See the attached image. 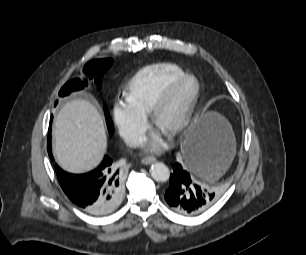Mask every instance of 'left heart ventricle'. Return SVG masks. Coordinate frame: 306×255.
Returning a JSON list of instances; mask_svg holds the SVG:
<instances>
[{
  "mask_svg": "<svg viewBox=\"0 0 306 255\" xmlns=\"http://www.w3.org/2000/svg\"><path fill=\"white\" fill-rule=\"evenodd\" d=\"M193 91V84L188 83L164 108L162 111L157 127L166 130L171 124H173L179 117L188 97Z\"/></svg>",
  "mask_w": 306,
  "mask_h": 255,
  "instance_id": "1",
  "label": "left heart ventricle"
}]
</instances>
